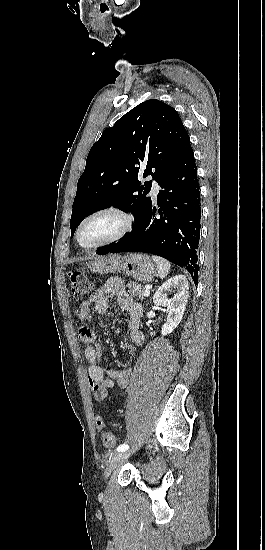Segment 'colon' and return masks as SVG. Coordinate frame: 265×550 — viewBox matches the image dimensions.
I'll return each instance as SVG.
<instances>
[{
	"label": "colon",
	"instance_id": "1",
	"mask_svg": "<svg viewBox=\"0 0 265 550\" xmlns=\"http://www.w3.org/2000/svg\"><path fill=\"white\" fill-rule=\"evenodd\" d=\"M67 277L70 284V291L74 298H82L93 292V281L80 270L69 271ZM89 384L94 391L95 399L103 401L105 399V394L99 386L92 381H90ZM95 424L99 430H103L105 427L103 419L99 416L95 418ZM102 442L106 448H112L115 445V437L112 433L104 431L102 433Z\"/></svg>",
	"mask_w": 265,
	"mask_h": 550
}]
</instances>
